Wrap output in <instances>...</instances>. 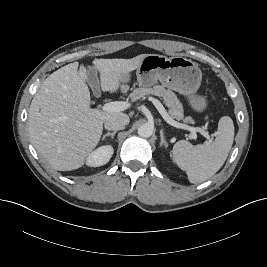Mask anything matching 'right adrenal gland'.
<instances>
[{"label":"right adrenal gland","mask_w":267,"mask_h":267,"mask_svg":"<svg viewBox=\"0 0 267 267\" xmlns=\"http://www.w3.org/2000/svg\"><path fill=\"white\" fill-rule=\"evenodd\" d=\"M115 134H116V131H114V132H108L105 135H103L102 140H104L108 136H111V138L114 139Z\"/></svg>","instance_id":"obj_1"}]
</instances>
